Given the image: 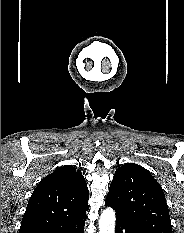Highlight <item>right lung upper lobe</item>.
Instances as JSON below:
<instances>
[{
	"label": "right lung upper lobe",
	"instance_id": "cb5924a9",
	"mask_svg": "<svg viewBox=\"0 0 184 233\" xmlns=\"http://www.w3.org/2000/svg\"><path fill=\"white\" fill-rule=\"evenodd\" d=\"M89 191L82 173L63 166L47 175L32 193L19 233L67 224L86 216Z\"/></svg>",
	"mask_w": 184,
	"mask_h": 233
}]
</instances>
